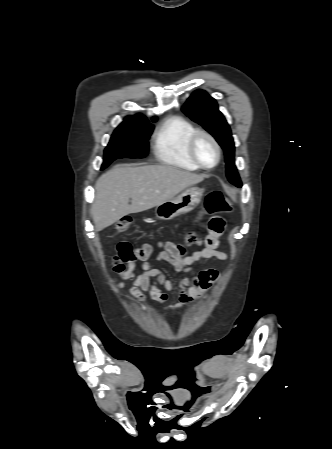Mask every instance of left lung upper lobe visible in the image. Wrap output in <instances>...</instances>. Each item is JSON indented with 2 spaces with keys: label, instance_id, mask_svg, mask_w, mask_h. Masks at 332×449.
Listing matches in <instances>:
<instances>
[{
  "label": "left lung upper lobe",
  "instance_id": "obj_1",
  "mask_svg": "<svg viewBox=\"0 0 332 449\" xmlns=\"http://www.w3.org/2000/svg\"><path fill=\"white\" fill-rule=\"evenodd\" d=\"M182 110L215 137L224 150L228 180L237 187H241V180L234 162V141L231 130L225 117L218 110L215 99L207 92L197 90L188 98Z\"/></svg>",
  "mask_w": 332,
  "mask_h": 449
}]
</instances>
